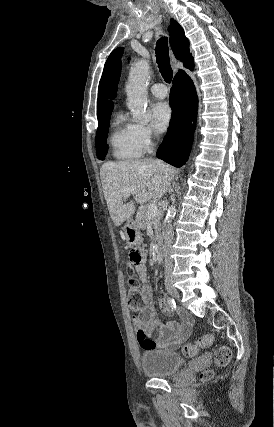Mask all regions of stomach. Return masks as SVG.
I'll list each match as a JSON object with an SVG mask.
<instances>
[{
	"label": "stomach",
	"mask_w": 274,
	"mask_h": 427,
	"mask_svg": "<svg viewBox=\"0 0 274 427\" xmlns=\"http://www.w3.org/2000/svg\"><path fill=\"white\" fill-rule=\"evenodd\" d=\"M124 233L127 245H139V243H142L141 231H139L134 219H127V223L124 225Z\"/></svg>",
	"instance_id": "1"
}]
</instances>
